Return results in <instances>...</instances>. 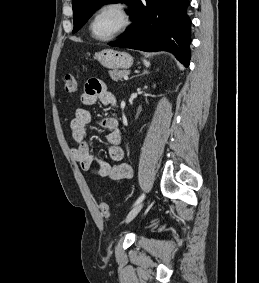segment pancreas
Instances as JSON below:
<instances>
[{
  "label": "pancreas",
  "mask_w": 259,
  "mask_h": 283,
  "mask_svg": "<svg viewBox=\"0 0 259 283\" xmlns=\"http://www.w3.org/2000/svg\"><path fill=\"white\" fill-rule=\"evenodd\" d=\"M128 72L126 70H120V71H112L110 72V77L114 81H118L124 78L125 75H127Z\"/></svg>",
  "instance_id": "pancreas-1"
}]
</instances>
